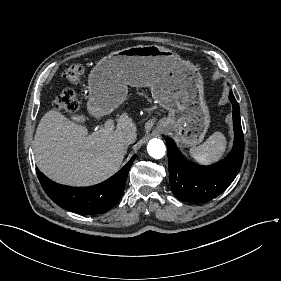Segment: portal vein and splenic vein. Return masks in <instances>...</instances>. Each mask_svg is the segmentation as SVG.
<instances>
[{
    "mask_svg": "<svg viewBox=\"0 0 281 281\" xmlns=\"http://www.w3.org/2000/svg\"><path fill=\"white\" fill-rule=\"evenodd\" d=\"M114 129H115V124L113 123V121L109 120L105 122L104 127L103 126L99 127L97 132L99 136L103 137L109 133H112Z\"/></svg>",
    "mask_w": 281,
    "mask_h": 281,
    "instance_id": "1",
    "label": "portal vein and splenic vein"
}]
</instances>
